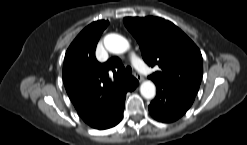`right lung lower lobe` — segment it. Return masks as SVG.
Instances as JSON below:
<instances>
[{
  "label": "right lung lower lobe",
  "instance_id": "right-lung-lower-lobe-1",
  "mask_svg": "<svg viewBox=\"0 0 247 145\" xmlns=\"http://www.w3.org/2000/svg\"><path fill=\"white\" fill-rule=\"evenodd\" d=\"M138 83L139 82L134 77H131V80L128 81L123 87L121 97L115 112L100 118L96 122L92 123L90 126L96 129H108L117 125L123 117L126 93L128 91H133L137 87Z\"/></svg>",
  "mask_w": 247,
  "mask_h": 145
}]
</instances>
